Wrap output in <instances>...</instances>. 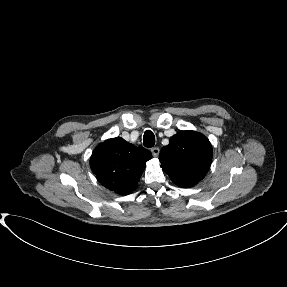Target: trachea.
I'll return each instance as SVG.
<instances>
[{"label":"trachea","instance_id":"1","mask_svg":"<svg viewBox=\"0 0 287 287\" xmlns=\"http://www.w3.org/2000/svg\"><path fill=\"white\" fill-rule=\"evenodd\" d=\"M143 145L147 148H151L155 145V136L152 131H145L143 136Z\"/></svg>","mask_w":287,"mask_h":287}]
</instances>
